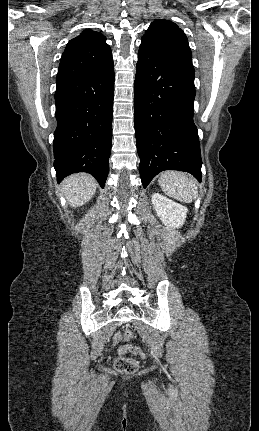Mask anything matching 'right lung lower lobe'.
Segmentation results:
<instances>
[{"label": "right lung lower lobe", "mask_w": 259, "mask_h": 431, "mask_svg": "<svg viewBox=\"0 0 259 431\" xmlns=\"http://www.w3.org/2000/svg\"><path fill=\"white\" fill-rule=\"evenodd\" d=\"M114 66L57 81L54 167L57 180L92 174L103 188L112 143Z\"/></svg>", "instance_id": "1"}]
</instances>
